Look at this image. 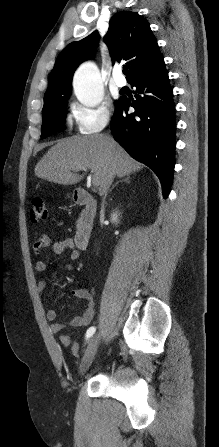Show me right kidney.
<instances>
[{"instance_id":"obj_1","label":"right kidney","mask_w":219,"mask_h":447,"mask_svg":"<svg viewBox=\"0 0 219 447\" xmlns=\"http://www.w3.org/2000/svg\"><path fill=\"white\" fill-rule=\"evenodd\" d=\"M119 216L120 213H118V211H113L110 215V221L112 223L118 224L119 223Z\"/></svg>"}]
</instances>
